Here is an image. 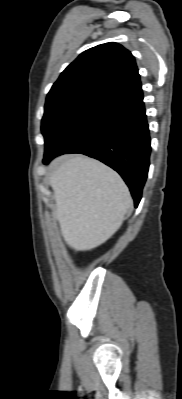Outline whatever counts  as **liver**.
Instances as JSON below:
<instances>
[{"instance_id": "6515ba94", "label": "liver", "mask_w": 182, "mask_h": 399, "mask_svg": "<svg viewBox=\"0 0 182 399\" xmlns=\"http://www.w3.org/2000/svg\"><path fill=\"white\" fill-rule=\"evenodd\" d=\"M52 169L56 218L66 244L86 251L106 242L132 206L122 178L103 163L84 156L55 161Z\"/></svg>"}]
</instances>
